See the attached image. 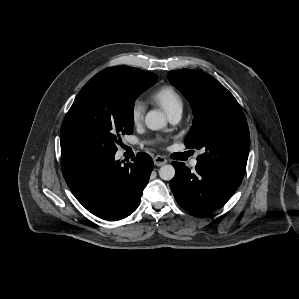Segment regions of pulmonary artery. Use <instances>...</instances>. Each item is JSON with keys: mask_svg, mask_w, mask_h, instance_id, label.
Returning <instances> with one entry per match:
<instances>
[{"mask_svg": "<svg viewBox=\"0 0 299 299\" xmlns=\"http://www.w3.org/2000/svg\"><path fill=\"white\" fill-rule=\"evenodd\" d=\"M181 114H182V110H176L172 113H170L168 115L169 117V120L172 122V123H176L179 121V119L181 118ZM190 165L192 167H195L197 165V159H192L191 162H190Z\"/></svg>", "mask_w": 299, "mask_h": 299, "instance_id": "1", "label": "pulmonary artery"}]
</instances>
